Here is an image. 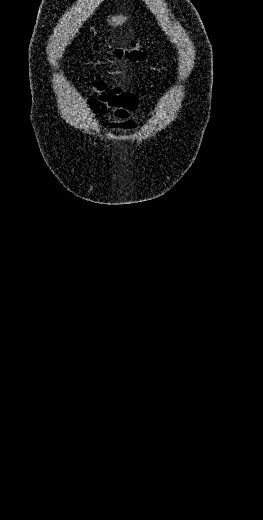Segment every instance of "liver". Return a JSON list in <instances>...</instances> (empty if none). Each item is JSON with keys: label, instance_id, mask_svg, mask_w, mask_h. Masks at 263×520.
Returning <instances> with one entry per match:
<instances>
[{"label": "liver", "instance_id": "obj_1", "mask_svg": "<svg viewBox=\"0 0 263 520\" xmlns=\"http://www.w3.org/2000/svg\"><path fill=\"white\" fill-rule=\"evenodd\" d=\"M126 20H127V17H126V16L118 15V16H113L111 19H108V22H109V24L112 25V26H120V25H122Z\"/></svg>", "mask_w": 263, "mask_h": 520}]
</instances>
